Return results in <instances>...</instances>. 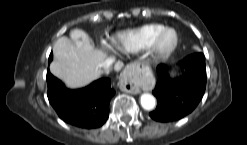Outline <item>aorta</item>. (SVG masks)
Returning <instances> with one entry per match:
<instances>
[{"label":"aorta","instance_id":"obj_1","mask_svg":"<svg viewBox=\"0 0 247 145\" xmlns=\"http://www.w3.org/2000/svg\"><path fill=\"white\" fill-rule=\"evenodd\" d=\"M140 103L143 109L152 110L156 106V99L149 93H144L140 97Z\"/></svg>","mask_w":247,"mask_h":145}]
</instances>
